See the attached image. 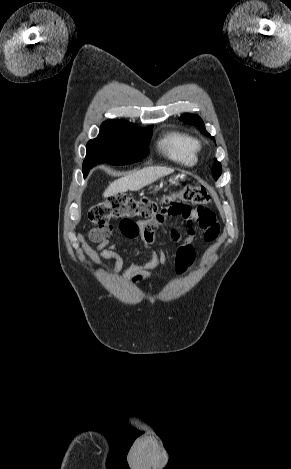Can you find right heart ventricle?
<instances>
[{
	"label": "right heart ventricle",
	"mask_w": 291,
	"mask_h": 469,
	"mask_svg": "<svg viewBox=\"0 0 291 469\" xmlns=\"http://www.w3.org/2000/svg\"><path fill=\"white\" fill-rule=\"evenodd\" d=\"M159 151L169 160L184 166H193L198 160L199 144L190 134L168 131L158 141Z\"/></svg>",
	"instance_id": "1"
}]
</instances>
